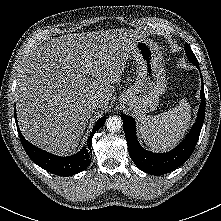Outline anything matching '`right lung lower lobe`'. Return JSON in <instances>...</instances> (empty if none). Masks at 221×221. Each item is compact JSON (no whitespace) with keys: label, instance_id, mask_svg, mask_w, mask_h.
Segmentation results:
<instances>
[{"label":"right lung lower lobe","instance_id":"right-lung-lower-lobe-1","mask_svg":"<svg viewBox=\"0 0 221 221\" xmlns=\"http://www.w3.org/2000/svg\"><path fill=\"white\" fill-rule=\"evenodd\" d=\"M14 115L17 123L15 110ZM106 119L107 117L103 116L98 120L87 139V145L85 147H83L78 153L67 157L56 156L34 146L23 137L18 126L17 130L26 153L34 163L55 175L71 176L85 170L89 166L92 156L91 142L93 135L104 125Z\"/></svg>","mask_w":221,"mask_h":221}]
</instances>
